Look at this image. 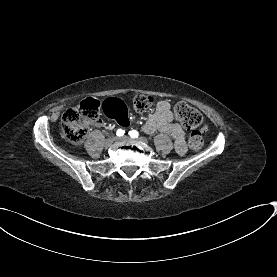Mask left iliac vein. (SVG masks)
<instances>
[{"mask_svg": "<svg viewBox=\"0 0 277 277\" xmlns=\"http://www.w3.org/2000/svg\"><path fill=\"white\" fill-rule=\"evenodd\" d=\"M120 140L128 141V140H130V137H128V136H123V137L120 138ZM137 140H138L139 142H143V143H147V142H148L147 139L144 138V137H140V138H138Z\"/></svg>", "mask_w": 277, "mask_h": 277, "instance_id": "obj_1", "label": "left iliac vein"}]
</instances>
